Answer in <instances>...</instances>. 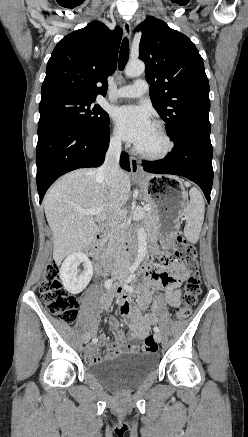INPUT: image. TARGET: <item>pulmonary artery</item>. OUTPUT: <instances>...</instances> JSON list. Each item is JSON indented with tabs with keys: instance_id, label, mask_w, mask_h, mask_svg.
<instances>
[{
	"instance_id": "obj_1",
	"label": "pulmonary artery",
	"mask_w": 248,
	"mask_h": 437,
	"mask_svg": "<svg viewBox=\"0 0 248 437\" xmlns=\"http://www.w3.org/2000/svg\"><path fill=\"white\" fill-rule=\"evenodd\" d=\"M148 91V83L143 79L136 80L131 85H126L117 90L116 98H137Z\"/></svg>"
}]
</instances>
